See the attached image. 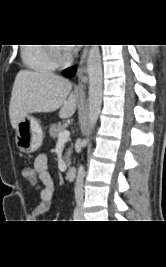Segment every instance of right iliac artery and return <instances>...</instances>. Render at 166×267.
<instances>
[{
	"label": "right iliac artery",
	"mask_w": 166,
	"mask_h": 267,
	"mask_svg": "<svg viewBox=\"0 0 166 267\" xmlns=\"http://www.w3.org/2000/svg\"><path fill=\"white\" fill-rule=\"evenodd\" d=\"M74 221H80L79 210L76 208L73 214Z\"/></svg>",
	"instance_id": "right-iliac-artery-1"
}]
</instances>
